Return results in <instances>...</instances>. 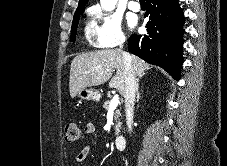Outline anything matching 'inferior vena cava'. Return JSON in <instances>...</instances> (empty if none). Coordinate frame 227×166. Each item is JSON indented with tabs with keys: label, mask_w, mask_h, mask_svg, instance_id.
<instances>
[{
	"label": "inferior vena cava",
	"mask_w": 227,
	"mask_h": 166,
	"mask_svg": "<svg viewBox=\"0 0 227 166\" xmlns=\"http://www.w3.org/2000/svg\"><path fill=\"white\" fill-rule=\"evenodd\" d=\"M125 38H120L118 41L119 47L122 49ZM123 63H124V75H125V112H126V123L128 132H132L133 125V112L135 104V92H136V76L132 67L131 57L129 54L122 51Z\"/></svg>",
	"instance_id": "obj_1"
}]
</instances>
